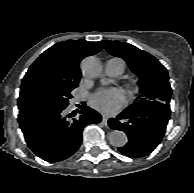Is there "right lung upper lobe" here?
Masks as SVG:
<instances>
[{
  "label": "right lung upper lobe",
  "instance_id": "1",
  "mask_svg": "<svg viewBox=\"0 0 194 193\" xmlns=\"http://www.w3.org/2000/svg\"><path fill=\"white\" fill-rule=\"evenodd\" d=\"M101 49V42L84 40L64 41L50 47L31 65L24 76L19 99L30 95L33 84L42 78H57L79 83L80 61L84 56L96 54Z\"/></svg>",
  "mask_w": 194,
  "mask_h": 193
}]
</instances>
